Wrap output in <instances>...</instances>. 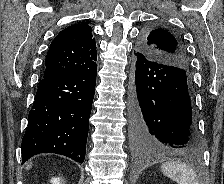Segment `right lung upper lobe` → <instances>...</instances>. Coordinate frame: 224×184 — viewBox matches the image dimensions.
I'll list each match as a JSON object with an SVG mask.
<instances>
[{
    "instance_id": "right-lung-upper-lobe-1",
    "label": "right lung upper lobe",
    "mask_w": 224,
    "mask_h": 184,
    "mask_svg": "<svg viewBox=\"0 0 224 184\" xmlns=\"http://www.w3.org/2000/svg\"><path fill=\"white\" fill-rule=\"evenodd\" d=\"M96 60V43L91 27L84 23L71 25L60 31L51 42L43 78L85 70Z\"/></svg>"
}]
</instances>
